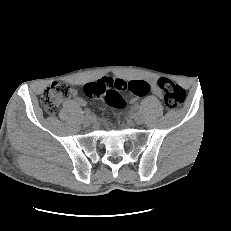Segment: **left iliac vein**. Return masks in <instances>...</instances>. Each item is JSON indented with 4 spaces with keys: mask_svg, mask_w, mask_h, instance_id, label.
<instances>
[{
    "mask_svg": "<svg viewBox=\"0 0 231 231\" xmlns=\"http://www.w3.org/2000/svg\"><path fill=\"white\" fill-rule=\"evenodd\" d=\"M133 119H134L135 123L138 124V125L142 124L143 121H144L142 115L139 114V113H136V114L133 116Z\"/></svg>",
    "mask_w": 231,
    "mask_h": 231,
    "instance_id": "left-iliac-vein-1",
    "label": "left iliac vein"
}]
</instances>
